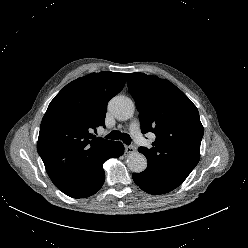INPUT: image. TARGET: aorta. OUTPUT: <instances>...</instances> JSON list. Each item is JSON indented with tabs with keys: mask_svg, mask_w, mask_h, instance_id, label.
Instances as JSON below:
<instances>
[{
	"mask_svg": "<svg viewBox=\"0 0 248 248\" xmlns=\"http://www.w3.org/2000/svg\"><path fill=\"white\" fill-rule=\"evenodd\" d=\"M109 110L119 120H128L132 118L135 105L134 102L126 96H115L109 102ZM127 166L134 173H141L147 168L146 157L139 152H132L127 157Z\"/></svg>",
	"mask_w": 248,
	"mask_h": 248,
	"instance_id": "762f6f07",
	"label": "aorta"
}]
</instances>
